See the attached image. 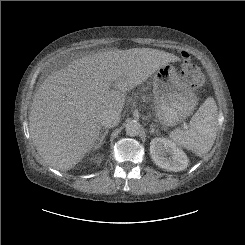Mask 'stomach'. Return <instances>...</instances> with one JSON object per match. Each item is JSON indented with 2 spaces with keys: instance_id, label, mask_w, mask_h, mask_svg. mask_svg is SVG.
I'll return each instance as SVG.
<instances>
[{
  "instance_id": "0dacf381",
  "label": "stomach",
  "mask_w": 245,
  "mask_h": 245,
  "mask_svg": "<svg viewBox=\"0 0 245 245\" xmlns=\"http://www.w3.org/2000/svg\"><path fill=\"white\" fill-rule=\"evenodd\" d=\"M155 115L164 126H175L189 117L198 98L175 67L166 64L153 75Z\"/></svg>"
}]
</instances>
